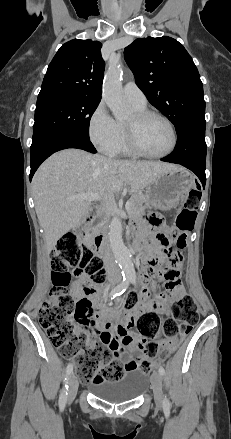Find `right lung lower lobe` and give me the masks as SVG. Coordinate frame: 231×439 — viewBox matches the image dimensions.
<instances>
[{
    "label": "right lung lower lobe",
    "instance_id": "obj_1",
    "mask_svg": "<svg viewBox=\"0 0 231 439\" xmlns=\"http://www.w3.org/2000/svg\"><path fill=\"white\" fill-rule=\"evenodd\" d=\"M67 148H78L96 153L90 139L72 131H58L42 139L30 148V181L40 164L53 153Z\"/></svg>",
    "mask_w": 231,
    "mask_h": 439
}]
</instances>
